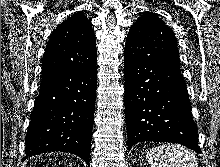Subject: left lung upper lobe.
I'll use <instances>...</instances> for the list:
<instances>
[{
  "instance_id": "left-lung-upper-lobe-1",
  "label": "left lung upper lobe",
  "mask_w": 220,
  "mask_h": 167,
  "mask_svg": "<svg viewBox=\"0 0 220 167\" xmlns=\"http://www.w3.org/2000/svg\"><path fill=\"white\" fill-rule=\"evenodd\" d=\"M125 53L139 60H156L180 67L174 32L151 12H144L130 28Z\"/></svg>"
}]
</instances>
